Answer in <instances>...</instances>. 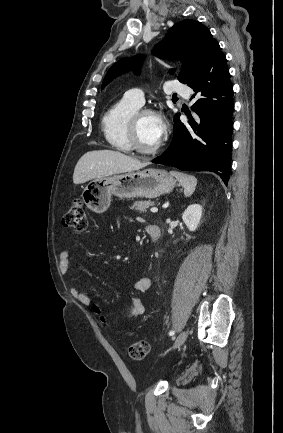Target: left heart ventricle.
<instances>
[{"mask_svg": "<svg viewBox=\"0 0 283 433\" xmlns=\"http://www.w3.org/2000/svg\"><path fill=\"white\" fill-rule=\"evenodd\" d=\"M162 126V120L153 114H146L139 123L138 136L142 147L147 151H155L160 140L157 133Z\"/></svg>", "mask_w": 283, "mask_h": 433, "instance_id": "1", "label": "left heart ventricle"}]
</instances>
